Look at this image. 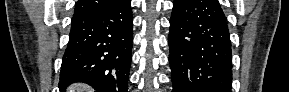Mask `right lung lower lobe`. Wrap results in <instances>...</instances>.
Returning a JSON list of instances; mask_svg holds the SVG:
<instances>
[{"label": "right lung lower lobe", "mask_w": 289, "mask_h": 92, "mask_svg": "<svg viewBox=\"0 0 289 92\" xmlns=\"http://www.w3.org/2000/svg\"><path fill=\"white\" fill-rule=\"evenodd\" d=\"M130 0L73 16L59 89L74 82L90 84L97 92H127L133 41Z\"/></svg>", "instance_id": "98d812e1"}]
</instances>
